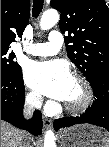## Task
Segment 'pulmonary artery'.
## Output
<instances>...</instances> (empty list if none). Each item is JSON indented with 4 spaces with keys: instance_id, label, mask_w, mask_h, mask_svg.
Wrapping results in <instances>:
<instances>
[{
    "instance_id": "obj_1",
    "label": "pulmonary artery",
    "mask_w": 109,
    "mask_h": 147,
    "mask_svg": "<svg viewBox=\"0 0 109 147\" xmlns=\"http://www.w3.org/2000/svg\"><path fill=\"white\" fill-rule=\"evenodd\" d=\"M63 44V35L60 32H52L47 41L27 46L24 50L32 56H53L58 53Z\"/></svg>"
}]
</instances>
